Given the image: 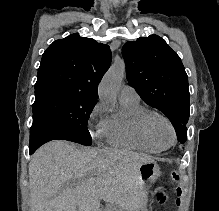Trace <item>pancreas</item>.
Listing matches in <instances>:
<instances>
[{"instance_id": "1", "label": "pancreas", "mask_w": 219, "mask_h": 211, "mask_svg": "<svg viewBox=\"0 0 219 211\" xmlns=\"http://www.w3.org/2000/svg\"><path fill=\"white\" fill-rule=\"evenodd\" d=\"M109 203L111 204L112 202L110 201ZM113 207H115V205H113ZM106 211H108V209H106ZM114 211H115V209H114Z\"/></svg>"}]
</instances>
